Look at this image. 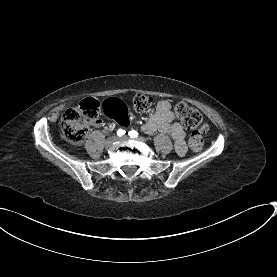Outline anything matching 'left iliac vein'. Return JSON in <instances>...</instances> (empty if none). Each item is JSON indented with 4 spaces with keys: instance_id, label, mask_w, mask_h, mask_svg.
Here are the masks:
<instances>
[{
    "instance_id": "4c4485c4",
    "label": "left iliac vein",
    "mask_w": 277,
    "mask_h": 277,
    "mask_svg": "<svg viewBox=\"0 0 277 277\" xmlns=\"http://www.w3.org/2000/svg\"><path fill=\"white\" fill-rule=\"evenodd\" d=\"M120 140H129V137L128 136H124V137L120 138ZM136 140H138L140 142H146V139L143 138V137H139Z\"/></svg>"
}]
</instances>
